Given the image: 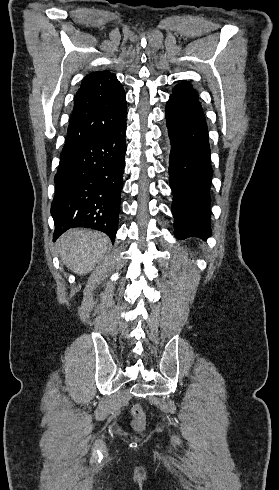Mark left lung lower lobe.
<instances>
[{
    "label": "left lung lower lobe",
    "instance_id": "1",
    "mask_svg": "<svg viewBox=\"0 0 279 490\" xmlns=\"http://www.w3.org/2000/svg\"><path fill=\"white\" fill-rule=\"evenodd\" d=\"M165 113L171 139L169 179L175 235L178 239H207L211 235L213 172L205 116L201 106L174 96H170Z\"/></svg>",
    "mask_w": 279,
    "mask_h": 490
}]
</instances>
